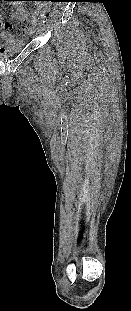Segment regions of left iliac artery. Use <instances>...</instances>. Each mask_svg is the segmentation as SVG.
Segmentation results:
<instances>
[{
    "mask_svg": "<svg viewBox=\"0 0 131 311\" xmlns=\"http://www.w3.org/2000/svg\"><path fill=\"white\" fill-rule=\"evenodd\" d=\"M46 20H47V19H46V16H44V15H41V16H40V21H41V23H45Z\"/></svg>",
    "mask_w": 131,
    "mask_h": 311,
    "instance_id": "44dca946",
    "label": "left iliac artery"
}]
</instances>
